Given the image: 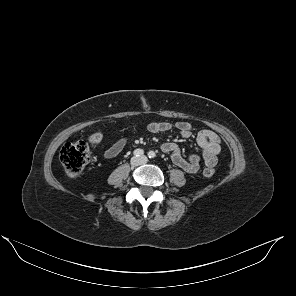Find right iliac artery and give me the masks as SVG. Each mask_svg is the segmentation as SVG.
<instances>
[{"label": "right iliac artery", "mask_w": 296, "mask_h": 296, "mask_svg": "<svg viewBox=\"0 0 296 296\" xmlns=\"http://www.w3.org/2000/svg\"><path fill=\"white\" fill-rule=\"evenodd\" d=\"M144 154V151L142 149H136L134 151V155L137 157V156H141Z\"/></svg>", "instance_id": "right-iliac-artery-1"}]
</instances>
